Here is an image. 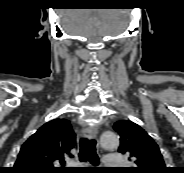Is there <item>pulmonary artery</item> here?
<instances>
[{"instance_id": "1", "label": "pulmonary artery", "mask_w": 184, "mask_h": 173, "mask_svg": "<svg viewBox=\"0 0 184 173\" xmlns=\"http://www.w3.org/2000/svg\"><path fill=\"white\" fill-rule=\"evenodd\" d=\"M103 164L108 168H116L121 164V158L118 154H109L104 157Z\"/></svg>"}]
</instances>
